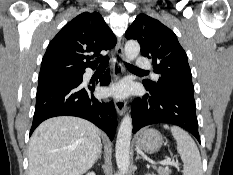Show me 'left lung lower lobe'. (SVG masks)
<instances>
[{
	"label": "left lung lower lobe",
	"mask_w": 233,
	"mask_h": 175,
	"mask_svg": "<svg viewBox=\"0 0 233 175\" xmlns=\"http://www.w3.org/2000/svg\"><path fill=\"white\" fill-rule=\"evenodd\" d=\"M145 88L149 93L132 104L133 133L147 125L170 123L186 129L200 142L193 90Z\"/></svg>",
	"instance_id": "left-lung-lower-lobe-1"
}]
</instances>
